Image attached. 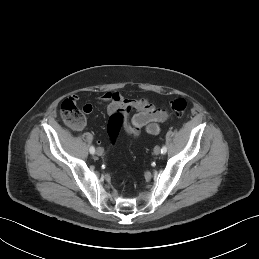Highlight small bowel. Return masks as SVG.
<instances>
[{
    "label": "small bowel",
    "mask_w": 259,
    "mask_h": 259,
    "mask_svg": "<svg viewBox=\"0 0 259 259\" xmlns=\"http://www.w3.org/2000/svg\"><path fill=\"white\" fill-rule=\"evenodd\" d=\"M99 103L104 105L111 115L121 111L125 115V132L130 137H137L142 131L156 135L160 132V124L168 120L169 115L165 110L158 109L147 97L131 99L124 97L119 91H108L99 97ZM86 114L93 112L91 104L84 105ZM135 113L129 117V112ZM80 127L79 129H82Z\"/></svg>",
    "instance_id": "1"
}]
</instances>
